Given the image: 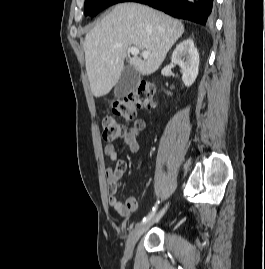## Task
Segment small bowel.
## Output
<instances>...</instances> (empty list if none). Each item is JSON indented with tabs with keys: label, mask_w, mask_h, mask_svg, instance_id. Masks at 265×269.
<instances>
[{
	"label": "small bowel",
	"mask_w": 265,
	"mask_h": 269,
	"mask_svg": "<svg viewBox=\"0 0 265 269\" xmlns=\"http://www.w3.org/2000/svg\"><path fill=\"white\" fill-rule=\"evenodd\" d=\"M144 129V123L139 121L135 127L131 128L128 133L122 137L123 143L133 153L139 151L138 138L140 132ZM104 153L114 163L106 169V182L109 187V205L121 216H129L138 208V201L135 197L127 198L125 203H122L117 198V192L121 186L122 180L127 172V165L123 160H120L117 155L116 147L113 143H108L104 147Z\"/></svg>",
	"instance_id": "small-bowel-1"
}]
</instances>
